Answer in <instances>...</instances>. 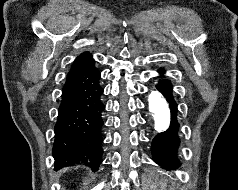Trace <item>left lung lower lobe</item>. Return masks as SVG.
I'll return each instance as SVG.
<instances>
[{"mask_svg":"<svg viewBox=\"0 0 238 190\" xmlns=\"http://www.w3.org/2000/svg\"><path fill=\"white\" fill-rule=\"evenodd\" d=\"M160 73L164 70H159ZM157 89L167 99L171 110L170 127L159 133L152 142L153 160L168 169H176L180 162L177 159V149L180 144L178 137L179 123L177 120V104L172 96V84L169 80H162L156 85Z\"/></svg>","mask_w":238,"mask_h":190,"instance_id":"obj_1","label":"left lung lower lobe"}]
</instances>
